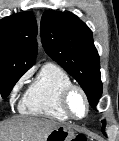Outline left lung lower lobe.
<instances>
[{
    "label": "left lung lower lobe",
    "instance_id": "0a47b994",
    "mask_svg": "<svg viewBox=\"0 0 119 141\" xmlns=\"http://www.w3.org/2000/svg\"><path fill=\"white\" fill-rule=\"evenodd\" d=\"M102 123H103V128H102V130L104 129V126H105V122L104 121H102Z\"/></svg>",
    "mask_w": 119,
    "mask_h": 141
}]
</instances>
